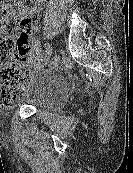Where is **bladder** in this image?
<instances>
[{
	"label": "bladder",
	"mask_w": 133,
	"mask_h": 173,
	"mask_svg": "<svg viewBox=\"0 0 133 173\" xmlns=\"http://www.w3.org/2000/svg\"><path fill=\"white\" fill-rule=\"evenodd\" d=\"M68 96L69 88L65 79L54 71L44 70L28 79L20 103L52 113L65 104Z\"/></svg>",
	"instance_id": "bladder-1"
}]
</instances>
